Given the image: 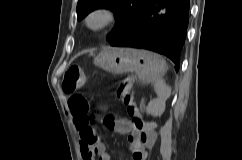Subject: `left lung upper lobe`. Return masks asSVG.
<instances>
[{"label":"left lung upper lobe","mask_w":242,"mask_h":160,"mask_svg":"<svg viewBox=\"0 0 242 160\" xmlns=\"http://www.w3.org/2000/svg\"><path fill=\"white\" fill-rule=\"evenodd\" d=\"M148 0H78V20L98 8H107L114 12L117 23L107 39L114 41L127 34L142 14Z\"/></svg>","instance_id":"1"}]
</instances>
